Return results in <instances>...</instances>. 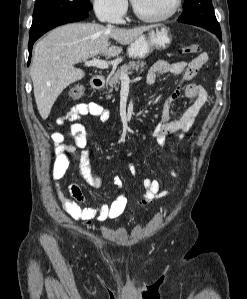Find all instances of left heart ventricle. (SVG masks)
<instances>
[{"mask_svg": "<svg viewBox=\"0 0 247 299\" xmlns=\"http://www.w3.org/2000/svg\"><path fill=\"white\" fill-rule=\"evenodd\" d=\"M136 7L144 14L155 16L167 12L173 0H133Z\"/></svg>", "mask_w": 247, "mask_h": 299, "instance_id": "obj_1", "label": "left heart ventricle"}]
</instances>
